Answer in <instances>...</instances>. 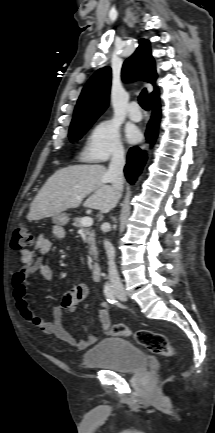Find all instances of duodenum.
Listing matches in <instances>:
<instances>
[{"label":"duodenum","instance_id":"duodenum-1","mask_svg":"<svg viewBox=\"0 0 215 433\" xmlns=\"http://www.w3.org/2000/svg\"><path fill=\"white\" fill-rule=\"evenodd\" d=\"M92 277L96 281L101 280V267L98 263H94L91 267Z\"/></svg>","mask_w":215,"mask_h":433}]
</instances>
